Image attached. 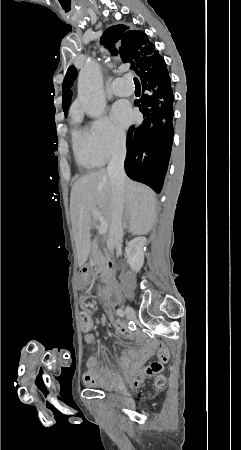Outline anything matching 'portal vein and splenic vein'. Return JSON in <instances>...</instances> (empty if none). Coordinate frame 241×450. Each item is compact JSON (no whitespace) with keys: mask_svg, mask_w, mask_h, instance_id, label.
<instances>
[{"mask_svg":"<svg viewBox=\"0 0 241 450\" xmlns=\"http://www.w3.org/2000/svg\"><path fill=\"white\" fill-rule=\"evenodd\" d=\"M108 230V224L107 222H100V226H98V232L99 234H105V232H107Z\"/></svg>","mask_w":241,"mask_h":450,"instance_id":"18ae733b","label":"portal vein and splenic vein"}]
</instances>
